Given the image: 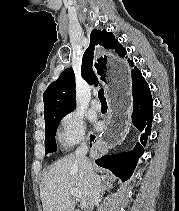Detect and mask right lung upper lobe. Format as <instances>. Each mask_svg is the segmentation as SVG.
Masks as SVG:
<instances>
[{
	"label": "right lung upper lobe",
	"mask_w": 179,
	"mask_h": 211,
	"mask_svg": "<svg viewBox=\"0 0 179 211\" xmlns=\"http://www.w3.org/2000/svg\"><path fill=\"white\" fill-rule=\"evenodd\" d=\"M107 48H116V52L121 57L127 54L125 48L117 43L115 36L111 32L94 29L90 35V45L86 49L83 59L81 73L82 77L89 83L97 85L98 79L108 81L109 66L107 56H101L94 59V51L98 54L96 46ZM133 66L132 61L128 60ZM136 69L134 67L132 72ZM44 101V117L45 122L53 117L65 115L73 111L76 107L75 94V75L72 68L64 70L60 77L52 82L43 94Z\"/></svg>",
	"instance_id": "cb5924a9"
}]
</instances>
